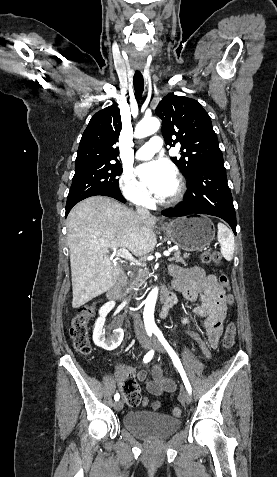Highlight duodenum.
I'll return each instance as SVG.
<instances>
[{"instance_id": "1", "label": "duodenum", "mask_w": 277, "mask_h": 477, "mask_svg": "<svg viewBox=\"0 0 277 477\" xmlns=\"http://www.w3.org/2000/svg\"><path fill=\"white\" fill-rule=\"evenodd\" d=\"M124 283V274L121 273L119 275V278L117 280V282L108 290L107 292V297L109 300L113 301L114 303H116V305L118 307L121 308V310L133 317L135 314L133 311L127 309L125 306H123V297H122V292H121V288H122V285ZM177 301V298L174 294L172 293H168L166 294L163 298H162V305H163V313H166L170 307H172Z\"/></svg>"}]
</instances>
